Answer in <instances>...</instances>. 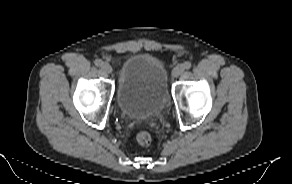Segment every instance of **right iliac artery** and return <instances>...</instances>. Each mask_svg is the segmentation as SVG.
<instances>
[{"label": "right iliac artery", "mask_w": 292, "mask_h": 184, "mask_svg": "<svg viewBox=\"0 0 292 184\" xmlns=\"http://www.w3.org/2000/svg\"><path fill=\"white\" fill-rule=\"evenodd\" d=\"M94 63H95L96 66H102L103 65V61L101 59H96Z\"/></svg>", "instance_id": "1"}]
</instances>
